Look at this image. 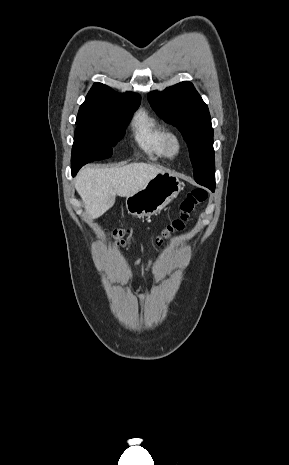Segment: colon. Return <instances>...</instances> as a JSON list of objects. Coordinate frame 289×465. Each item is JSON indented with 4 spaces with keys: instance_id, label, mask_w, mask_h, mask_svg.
<instances>
[{
    "instance_id": "1",
    "label": "colon",
    "mask_w": 289,
    "mask_h": 465,
    "mask_svg": "<svg viewBox=\"0 0 289 465\" xmlns=\"http://www.w3.org/2000/svg\"><path fill=\"white\" fill-rule=\"evenodd\" d=\"M208 190L204 188H195L190 191L180 204L179 216L175 218L157 237L156 243L162 244L164 239L169 237L172 233L184 229L187 221L197 211L198 207L207 199ZM129 230L127 229H114L109 232V236L117 246L124 247L129 244L128 238Z\"/></svg>"
}]
</instances>
